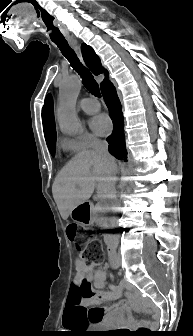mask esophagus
<instances>
[{
    "label": "esophagus",
    "instance_id": "esophagus-1",
    "mask_svg": "<svg viewBox=\"0 0 193 336\" xmlns=\"http://www.w3.org/2000/svg\"><path fill=\"white\" fill-rule=\"evenodd\" d=\"M80 61L84 64V60H83V57H82V53H81V48H80V45L77 43L76 40H72L71 41Z\"/></svg>",
    "mask_w": 193,
    "mask_h": 336
}]
</instances>
